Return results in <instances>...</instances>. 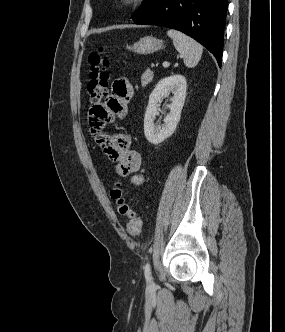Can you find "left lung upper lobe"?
Returning a JSON list of instances; mask_svg holds the SVG:
<instances>
[{
	"mask_svg": "<svg viewBox=\"0 0 285 332\" xmlns=\"http://www.w3.org/2000/svg\"><path fill=\"white\" fill-rule=\"evenodd\" d=\"M160 0H144L142 6L140 9H138L135 14L133 15L132 19L136 20L143 15L147 14L149 11H151L158 3Z\"/></svg>",
	"mask_w": 285,
	"mask_h": 332,
	"instance_id": "1",
	"label": "left lung upper lobe"
}]
</instances>
